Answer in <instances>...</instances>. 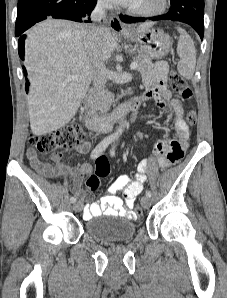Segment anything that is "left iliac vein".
Here are the masks:
<instances>
[{
	"mask_svg": "<svg viewBox=\"0 0 227 298\" xmlns=\"http://www.w3.org/2000/svg\"><path fill=\"white\" fill-rule=\"evenodd\" d=\"M141 205H142L143 208H145V209L149 208L150 205H151L150 197H148V196H144V197L141 199Z\"/></svg>",
	"mask_w": 227,
	"mask_h": 298,
	"instance_id": "left-iliac-vein-1",
	"label": "left iliac vein"
}]
</instances>
